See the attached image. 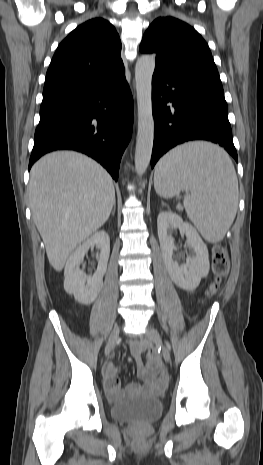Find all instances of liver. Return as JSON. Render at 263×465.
Instances as JSON below:
<instances>
[{
  "label": "liver",
  "mask_w": 263,
  "mask_h": 465,
  "mask_svg": "<svg viewBox=\"0 0 263 465\" xmlns=\"http://www.w3.org/2000/svg\"><path fill=\"white\" fill-rule=\"evenodd\" d=\"M28 192L49 263L58 272L75 248L107 221L115 204L109 173L73 151L39 159L31 168Z\"/></svg>",
  "instance_id": "6515ba94"
}]
</instances>
